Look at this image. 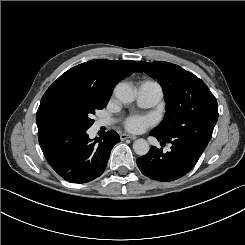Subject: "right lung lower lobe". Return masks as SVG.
<instances>
[{"instance_id":"right-lung-lower-lobe-1","label":"right lung lower lobe","mask_w":245,"mask_h":245,"mask_svg":"<svg viewBox=\"0 0 245 245\" xmlns=\"http://www.w3.org/2000/svg\"><path fill=\"white\" fill-rule=\"evenodd\" d=\"M87 129L56 128L39 132V144L50 166L70 183H86L101 176L113 146L115 131L89 139Z\"/></svg>"}]
</instances>
